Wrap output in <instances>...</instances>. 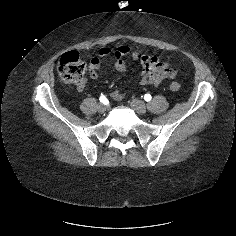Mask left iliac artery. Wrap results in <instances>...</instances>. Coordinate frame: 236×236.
<instances>
[{"label": "left iliac artery", "mask_w": 236, "mask_h": 236, "mask_svg": "<svg viewBox=\"0 0 236 236\" xmlns=\"http://www.w3.org/2000/svg\"><path fill=\"white\" fill-rule=\"evenodd\" d=\"M151 95L150 94H145L144 95V99H145V101H150L151 100Z\"/></svg>", "instance_id": "obj_1"}]
</instances>
